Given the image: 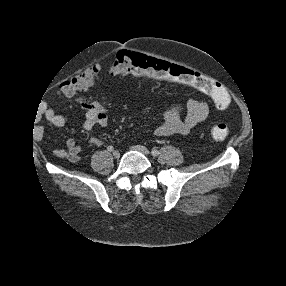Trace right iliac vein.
Masks as SVG:
<instances>
[{
  "label": "right iliac vein",
  "mask_w": 286,
  "mask_h": 286,
  "mask_svg": "<svg viewBox=\"0 0 286 286\" xmlns=\"http://www.w3.org/2000/svg\"><path fill=\"white\" fill-rule=\"evenodd\" d=\"M113 156L115 157V158H119L120 157V153H119V151H117V150H115V151H113Z\"/></svg>",
  "instance_id": "63e3f726"
}]
</instances>
